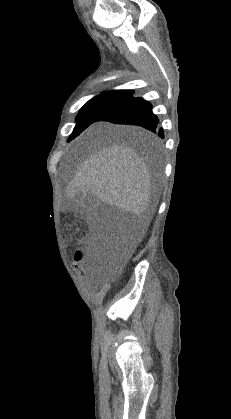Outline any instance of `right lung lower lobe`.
Listing matches in <instances>:
<instances>
[{
	"instance_id": "1",
	"label": "right lung lower lobe",
	"mask_w": 231,
	"mask_h": 419,
	"mask_svg": "<svg viewBox=\"0 0 231 419\" xmlns=\"http://www.w3.org/2000/svg\"><path fill=\"white\" fill-rule=\"evenodd\" d=\"M97 121L138 125L164 138L163 129L159 128V120L152 112V105L148 101L133 95L123 103L105 112Z\"/></svg>"
}]
</instances>
